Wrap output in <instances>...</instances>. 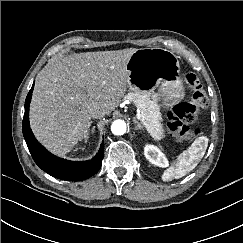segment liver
Returning a JSON list of instances; mask_svg holds the SVG:
<instances>
[{"label": "liver", "mask_w": 243, "mask_h": 243, "mask_svg": "<svg viewBox=\"0 0 243 243\" xmlns=\"http://www.w3.org/2000/svg\"><path fill=\"white\" fill-rule=\"evenodd\" d=\"M137 51L74 53L48 64L36 77L30 125L37 140L58 156L81 141L90 127V109L110 114L128 86L127 63Z\"/></svg>", "instance_id": "6515ba94"}]
</instances>
